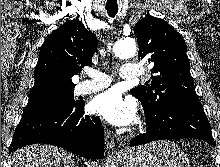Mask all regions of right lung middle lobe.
Segmentation results:
<instances>
[{
	"instance_id": "right-lung-middle-lobe-1",
	"label": "right lung middle lobe",
	"mask_w": 220,
	"mask_h": 167,
	"mask_svg": "<svg viewBox=\"0 0 220 167\" xmlns=\"http://www.w3.org/2000/svg\"><path fill=\"white\" fill-rule=\"evenodd\" d=\"M43 101H52L55 104H62V105H72L76 102L74 100L73 89H71V90L63 91V92L56 93L53 95H49L46 97H42L39 99L29 100L27 106L33 105L39 102H43Z\"/></svg>"
}]
</instances>
